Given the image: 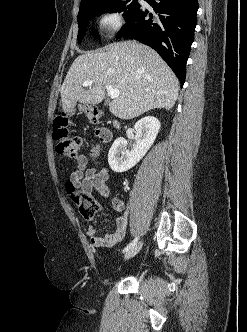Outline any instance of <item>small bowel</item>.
<instances>
[{"mask_svg":"<svg viewBox=\"0 0 247 332\" xmlns=\"http://www.w3.org/2000/svg\"><path fill=\"white\" fill-rule=\"evenodd\" d=\"M96 142L90 147L89 154H81L77 157V163L74 171L70 175V182L77 189H80L86 195H91L94 190L98 191L104 197L110 194L107 182L108 171L99 163L101 147L108 144L112 135L106 128H100L96 131ZM89 162L93 164L88 167ZM111 206L116 212H123L125 204L119 197L111 199ZM127 230V217L124 214L117 216L114 220V231L102 237L97 236L96 229L88 226L87 235L94 247H112L124 240Z\"/></svg>","mask_w":247,"mask_h":332,"instance_id":"obj_1","label":"small bowel"}]
</instances>
